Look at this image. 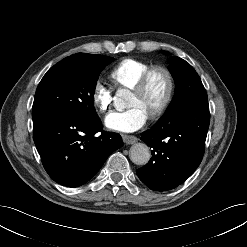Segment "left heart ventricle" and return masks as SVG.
Masks as SVG:
<instances>
[{
  "mask_svg": "<svg viewBox=\"0 0 247 247\" xmlns=\"http://www.w3.org/2000/svg\"><path fill=\"white\" fill-rule=\"evenodd\" d=\"M167 90V79L161 72H156L149 80L143 94L132 92L129 107L139 106L148 115L155 111L164 99Z\"/></svg>",
  "mask_w": 247,
  "mask_h": 247,
  "instance_id": "1",
  "label": "left heart ventricle"
}]
</instances>
